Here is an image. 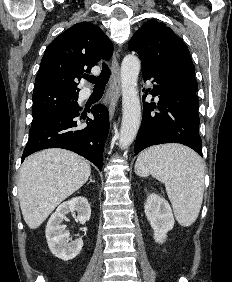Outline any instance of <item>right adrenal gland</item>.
I'll return each mask as SVG.
<instances>
[{
  "label": "right adrenal gland",
  "instance_id": "2a0ac1e0",
  "mask_svg": "<svg viewBox=\"0 0 232 282\" xmlns=\"http://www.w3.org/2000/svg\"><path fill=\"white\" fill-rule=\"evenodd\" d=\"M91 182H95L94 180H92V176H90V181L88 182V185H89Z\"/></svg>",
  "mask_w": 232,
  "mask_h": 282
}]
</instances>
